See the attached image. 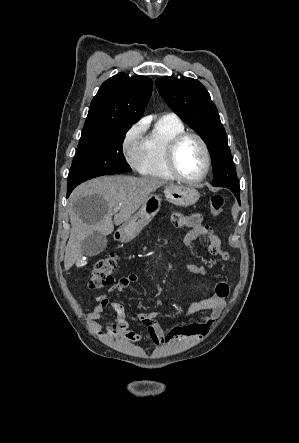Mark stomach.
<instances>
[{
	"label": "stomach",
	"mask_w": 299,
	"mask_h": 443,
	"mask_svg": "<svg viewBox=\"0 0 299 443\" xmlns=\"http://www.w3.org/2000/svg\"><path fill=\"white\" fill-rule=\"evenodd\" d=\"M164 195L168 202L182 207L194 205L200 198L198 191L191 186L169 185L165 187ZM160 208V196L151 194L140 210L119 228V240L129 242L134 239L160 211Z\"/></svg>",
	"instance_id": "stomach-1"
}]
</instances>
